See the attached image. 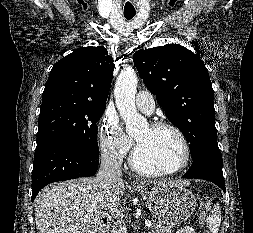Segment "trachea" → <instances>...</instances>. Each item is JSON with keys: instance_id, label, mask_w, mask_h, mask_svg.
I'll list each match as a JSON object with an SVG mask.
<instances>
[{"instance_id": "obj_1", "label": "trachea", "mask_w": 253, "mask_h": 233, "mask_svg": "<svg viewBox=\"0 0 253 233\" xmlns=\"http://www.w3.org/2000/svg\"><path fill=\"white\" fill-rule=\"evenodd\" d=\"M135 16V13H124V17L128 20L132 19Z\"/></svg>"}]
</instances>
